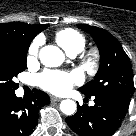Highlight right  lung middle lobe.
Wrapping results in <instances>:
<instances>
[{
	"instance_id": "right-lung-middle-lobe-1",
	"label": "right lung middle lobe",
	"mask_w": 136,
	"mask_h": 136,
	"mask_svg": "<svg viewBox=\"0 0 136 136\" xmlns=\"http://www.w3.org/2000/svg\"><path fill=\"white\" fill-rule=\"evenodd\" d=\"M29 45H21L16 40L0 41V96L14 93L19 87L14 78L26 69Z\"/></svg>"
}]
</instances>
